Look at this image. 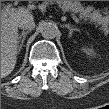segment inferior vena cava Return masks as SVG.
I'll use <instances>...</instances> for the list:
<instances>
[{
  "label": "inferior vena cava",
  "mask_w": 109,
  "mask_h": 109,
  "mask_svg": "<svg viewBox=\"0 0 109 109\" xmlns=\"http://www.w3.org/2000/svg\"><path fill=\"white\" fill-rule=\"evenodd\" d=\"M19 27L30 31L35 27V23L33 20H25L20 22Z\"/></svg>",
  "instance_id": "1"
}]
</instances>
